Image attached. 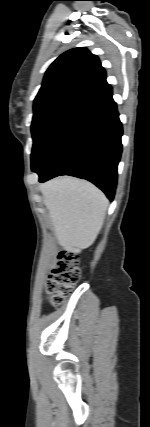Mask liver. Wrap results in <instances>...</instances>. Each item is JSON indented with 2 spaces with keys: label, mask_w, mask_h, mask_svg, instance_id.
I'll return each mask as SVG.
<instances>
[{
  "label": "liver",
  "mask_w": 150,
  "mask_h": 427,
  "mask_svg": "<svg viewBox=\"0 0 150 427\" xmlns=\"http://www.w3.org/2000/svg\"><path fill=\"white\" fill-rule=\"evenodd\" d=\"M59 245L72 252L88 248L104 223L108 200L90 182L58 177L40 186Z\"/></svg>",
  "instance_id": "1"
}]
</instances>
